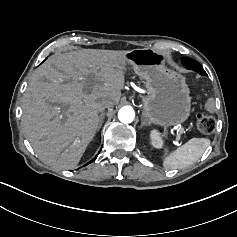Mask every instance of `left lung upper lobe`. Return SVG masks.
Segmentation results:
<instances>
[{"label": "left lung upper lobe", "instance_id": "1", "mask_svg": "<svg viewBox=\"0 0 237 237\" xmlns=\"http://www.w3.org/2000/svg\"><path fill=\"white\" fill-rule=\"evenodd\" d=\"M182 63L184 66H186L187 69L193 70L200 75L207 76L203 67L196 60L188 58V57H183Z\"/></svg>", "mask_w": 237, "mask_h": 237}]
</instances>
